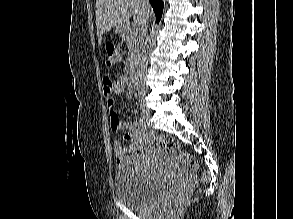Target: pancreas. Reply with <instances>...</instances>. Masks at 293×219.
Returning a JSON list of instances; mask_svg holds the SVG:
<instances>
[{"label":"pancreas","instance_id":"1","mask_svg":"<svg viewBox=\"0 0 293 219\" xmlns=\"http://www.w3.org/2000/svg\"><path fill=\"white\" fill-rule=\"evenodd\" d=\"M128 57L126 61V69L131 68L137 61L138 50L140 45L139 35L133 31L131 38L128 40Z\"/></svg>","mask_w":293,"mask_h":219}]
</instances>
